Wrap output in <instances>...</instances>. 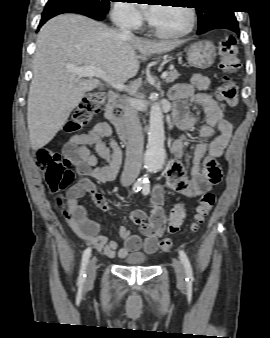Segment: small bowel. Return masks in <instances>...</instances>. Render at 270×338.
<instances>
[{
    "label": "small bowel",
    "mask_w": 270,
    "mask_h": 338,
    "mask_svg": "<svg viewBox=\"0 0 270 338\" xmlns=\"http://www.w3.org/2000/svg\"><path fill=\"white\" fill-rule=\"evenodd\" d=\"M170 98L175 105V114L171 123L177 124L182 130L190 131L200 122L204 124L199 129L200 141L195 145L192 164L189 168L190 180L186 178V169L181 160L185 156L186 138L179 137L172 145L174 161L166 172L167 186L173 191L188 197L196 198L210 191L211 186L219 182L221 172L214 173L200 167L202 160H216L220 158L229 146L233 128L224 119L225 105L220 102L212 88L208 77L196 74L189 83L175 85ZM186 103H192L202 109V117L186 116L181 108ZM216 131L218 135L211 139ZM112 126L107 121H100L88 132L72 136L63 147V156L73 163L80 179L72 185L64 197H57V204L67 216L73 231L97 252L107 258L116 255L124 256L127 252L143 251L153 254L157 250L158 239L162 233L165 214L162 208L163 187L156 184L153 187L152 201L148 205L150 211L146 219L144 211L135 209L129 212L128 218L138 223L144 236L131 233L126 227L119 228L124 239L121 246L117 241H109L101 234V223L90 217L82 206L81 200L90 195L95 204L102 210H109V202L98 192L93 180L107 182L113 180L121 164V152L117 144L110 137ZM108 139V141H106ZM211 141L208 142V140ZM91 147L95 153L91 152ZM105 161V165L98 167V159Z\"/></svg>",
    "instance_id": "c3829d8e"
}]
</instances>
